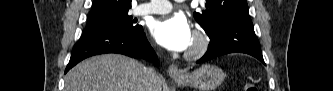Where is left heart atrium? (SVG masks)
I'll return each instance as SVG.
<instances>
[{"mask_svg":"<svg viewBox=\"0 0 333 91\" xmlns=\"http://www.w3.org/2000/svg\"><path fill=\"white\" fill-rule=\"evenodd\" d=\"M151 32L159 44L171 51H186L193 40L191 26L181 14L154 21Z\"/></svg>","mask_w":333,"mask_h":91,"instance_id":"obj_1","label":"left heart atrium"}]
</instances>
